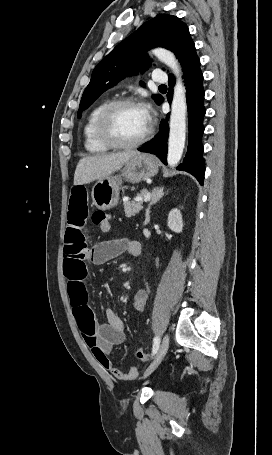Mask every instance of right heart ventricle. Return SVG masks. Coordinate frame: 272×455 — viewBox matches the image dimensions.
Listing matches in <instances>:
<instances>
[{
	"mask_svg": "<svg viewBox=\"0 0 272 455\" xmlns=\"http://www.w3.org/2000/svg\"><path fill=\"white\" fill-rule=\"evenodd\" d=\"M108 103V100H104L97 104L88 114L84 124V147L91 154H103L111 149L99 141L95 131L97 117Z\"/></svg>",
	"mask_w": 272,
	"mask_h": 455,
	"instance_id": "1",
	"label": "right heart ventricle"
}]
</instances>
